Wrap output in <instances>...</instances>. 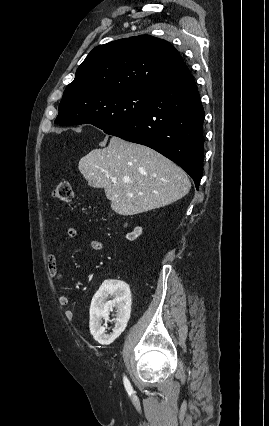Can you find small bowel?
Here are the masks:
<instances>
[{
	"label": "small bowel",
	"instance_id": "small-bowel-1",
	"mask_svg": "<svg viewBox=\"0 0 269 426\" xmlns=\"http://www.w3.org/2000/svg\"><path fill=\"white\" fill-rule=\"evenodd\" d=\"M67 235L69 238H76L78 235L77 229L74 227H69L67 229ZM89 245L93 250H101L103 247L102 242L98 239H91ZM47 267L53 283L56 286H60L62 284L64 274L58 270L57 258L54 254H50L48 256ZM58 302L62 307L68 308L70 305V298L67 295L62 294L58 297ZM65 314L67 317H70L72 315L71 311L69 310H66Z\"/></svg>",
	"mask_w": 269,
	"mask_h": 426
}]
</instances>
